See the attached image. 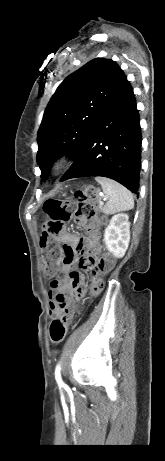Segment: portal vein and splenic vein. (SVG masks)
<instances>
[{
    "mask_svg": "<svg viewBox=\"0 0 165 461\" xmlns=\"http://www.w3.org/2000/svg\"><path fill=\"white\" fill-rule=\"evenodd\" d=\"M103 200H104V201H106L107 199H106V198H104ZM99 204H101V205H102V204H103V201H101V200H100V201H99Z\"/></svg>",
    "mask_w": 165,
    "mask_h": 461,
    "instance_id": "18ae733b",
    "label": "portal vein and splenic vein"
}]
</instances>
